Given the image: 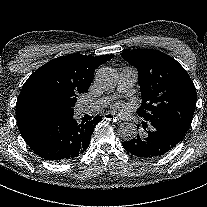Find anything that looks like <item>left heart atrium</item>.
I'll return each instance as SVG.
<instances>
[{
    "label": "left heart atrium",
    "instance_id": "39dd6f15",
    "mask_svg": "<svg viewBox=\"0 0 207 207\" xmlns=\"http://www.w3.org/2000/svg\"><path fill=\"white\" fill-rule=\"evenodd\" d=\"M113 110L114 111H117V112H120V113H126L127 110H128V107L125 103L123 102H116L114 105H113Z\"/></svg>",
    "mask_w": 207,
    "mask_h": 207
}]
</instances>
